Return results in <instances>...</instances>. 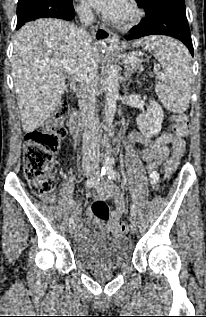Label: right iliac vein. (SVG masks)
Segmentation results:
<instances>
[{
    "label": "right iliac vein",
    "mask_w": 206,
    "mask_h": 317,
    "mask_svg": "<svg viewBox=\"0 0 206 317\" xmlns=\"http://www.w3.org/2000/svg\"><path fill=\"white\" fill-rule=\"evenodd\" d=\"M91 174H92V172H88V175H91ZM75 231H76V225H75V223H70V225H69V232H70V234H74Z\"/></svg>",
    "instance_id": "63e3f726"
}]
</instances>
